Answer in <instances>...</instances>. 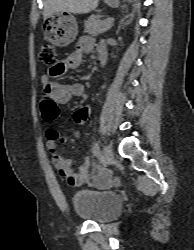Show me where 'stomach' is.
<instances>
[{"label":"stomach","mask_w":194,"mask_h":250,"mask_svg":"<svg viewBox=\"0 0 194 250\" xmlns=\"http://www.w3.org/2000/svg\"><path fill=\"white\" fill-rule=\"evenodd\" d=\"M111 7H117L119 0H105ZM78 33L76 18L68 12H55L47 18L44 27L45 38L55 46L66 47Z\"/></svg>","instance_id":"1"}]
</instances>
